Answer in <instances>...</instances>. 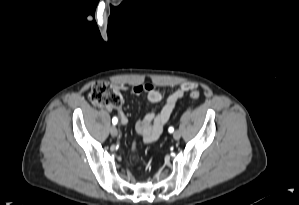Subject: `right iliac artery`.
<instances>
[{"instance_id": "obj_1", "label": "right iliac artery", "mask_w": 299, "mask_h": 205, "mask_svg": "<svg viewBox=\"0 0 299 205\" xmlns=\"http://www.w3.org/2000/svg\"><path fill=\"white\" fill-rule=\"evenodd\" d=\"M117 122H118V119H117L116 117H113V119H112V123H113L114 125H116Z\"/></svg>"}]
</instances>
